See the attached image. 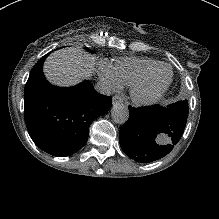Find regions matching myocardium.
<instances>
[{
    "label": "myocardium",
    "mask_w": 219,
    "mask_h": 219,
    "mask_svg": "<svg viewBox=\"0 0 219 219\" xmlns=\"http://www.w3.org/2000/svg\"><path fill=\"white\" fill-rule=\"evenodd\" d=\"M160 68H167L169 70V78L166 84L158 90L156 93L149 96L140 95V90L146 85L149 78ZM173 80V71L168 64L160 63L151 69H149L146 73H144L134 84L130 86L129 94L132 102L141 107H147L158 103L162 97L165 95L166 91L170 87Z\"/></svg>",
    "instance_id": "obj_1"
}]
</instances>
